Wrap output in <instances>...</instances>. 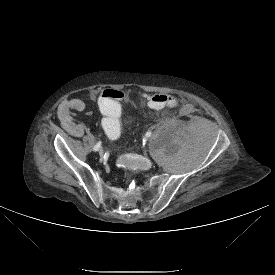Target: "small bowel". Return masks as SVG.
I'll use <instances>...</instances> for the list:
<instances>
[{
    "label": "small bowel",
    "mask_w": 275,
    "mask_h": 275,
    "mask_svg": "<svg viewBox=\"0 0 275 275\" xmlns=\"http://www.w3.org/2000/svg\"><path fill=\"white\" fill-rule=\"evenodd\" d=\"M84 109L83 102L78 98L64 101L58 109V116L61 118L63 126L74 137H81L84 134V126L75 121L73 115L80 114Z\"/></svg>",
    "instance_id": "c3829d8e"
}]
</instances>
